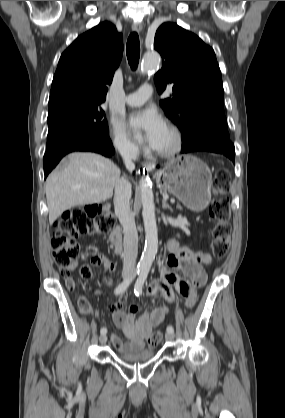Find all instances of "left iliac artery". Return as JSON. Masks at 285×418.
Masks as SVG:
<instances>
[{
    "label": "left iliac artery",
    "mask_w": 285,
    "mask_h": 418,
    "mask_svg": "<svg viewBox=\"0 0 285 418\" xmlns=\"http://www.w3.org/2000/svg\"><path fill=\"white\" fill-rule=\"evenodd\" d=\"M148 272H149L148 269H144L140 272L139 277H138V279L135 283V286H134V293H135L136 296H139V295L142 294V288H143L144 282H145V280L148 276ZM167 332H174L173 326H168L167 327Z\"/></svg>",
    "instance_id": "44dca946"
}]
</instances>
